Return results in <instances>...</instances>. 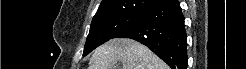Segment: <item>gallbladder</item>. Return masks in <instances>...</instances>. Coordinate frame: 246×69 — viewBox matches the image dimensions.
<instances>
[{
    "label": "gallbladder",
    "mask_w": 246,
    "mask_h": 69,
    "mask_svg": "<svg viewBox=\"0 0 246 69\" xmlns=\"http://www.w3.org/2000/svg\"><path fill=\"white\" fill-rule=\"evenodd\" d=\"M114 69H121V65H115Z\"/></svg>",
    "instance_id": "obj_1"
}]
</instances>
